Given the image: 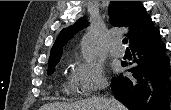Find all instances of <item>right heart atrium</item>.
I'll return each mask as SVG.
<instances>
[{"instance_id":"d8ad5b80","label":"right heart atrium","mask_w":171,"mask_h":110,"mask_svg":"<svg viewBox=\"0 0 171 110\" xmlns=\"http://www.w3.org/2000/svg\"><path fill=\"white\" fill-rule=\"evenodd\" d=\"M71 78L84 95H89L107 84L102 67L97 62L78 60L73 68Z\"/></svg>"}]
</instances>
